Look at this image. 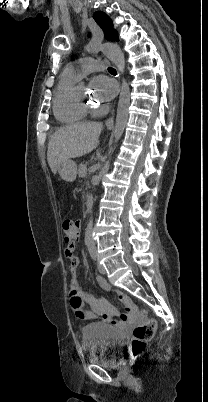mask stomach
<instances>
[{
  "label": "stomach",
  "mask_w": 208,
  "mask_h": 402,
  "mask_svg": "<svg viewBox=\"0 0 208 402\" xmlns=\"http://www.w3.org/2000/svg\"><path fill=\"white\" fill-rule=\"evenodd\" d=\"M58 174L65 182H74L77 176V164L73 160L63 162L58 168Z\"/></svg>",
  "instance_id": "stomach-1"
}]
</instances>
